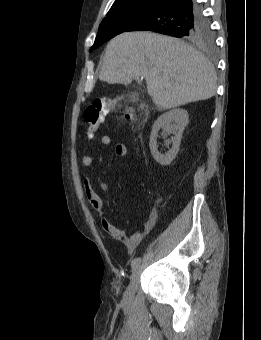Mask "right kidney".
Masks as SVG:
<instances>
[{"label":"right kidney","mask_w":261,"mask_h":340,"mask_svg":"<svg viewBox=\"0 0 261 340\" xmlns=\"http://www.w3.org/2000/svg\"><path fill=\"white\" fill-rule=\"evenodd\" d=\"M188 120V112L183 109H173L158 117L153 125L149 142L152 156L156 162L167 166L173 161L179 151L182 134L188 124ZM160 129H163L168 135L174 134V137H172V147L165 154H161L158 151L157 137Z\"/></svg>","instance_id":"obj_1"}]
</instances>
